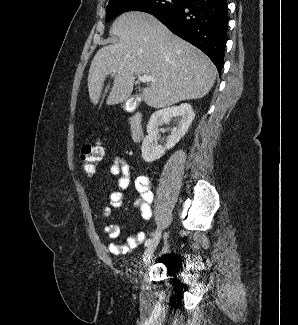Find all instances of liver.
Returning a JSON list of instances; mask_svg holds the SVG:
<instances>
[{
    "instance_id": "liver-1",
    "label": "liver",
    "mask_w": 298,
    "mask_h": 325,
    "mask_svg": "<svg viewBox=\"0 0 298 325\" xmlns=\"http://www.w3.org/2000/svg\"><path fill=\"white\" fill-rule=\"evenodd\" d=\"M110 34L118 36V42L99 48L88 70L92 104L100 102L107 76L114 80L106 104L131 96L135 74L156 78L142 90L143 102L153 108L202 98L211 90L217 72L212 60L152 14L124 12L114 20Z\"/></svg>"
}]
</instances>
